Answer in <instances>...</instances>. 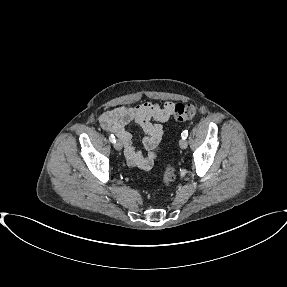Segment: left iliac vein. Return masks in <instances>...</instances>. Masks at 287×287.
<instances>
[{
	"label": "left iliac vein",
	"mask_w": 287,
	"mask_h": 287,
	"mask_svg": "<svg viewBox=\"0 0 287 287\" xmlns=\"http://www.w3.org/2000/svg\"><path fill=\"white\" fill-rule=\"evenodd\" d=\"M179 146H180L182 149H186L187 146H188V143H187V141H186L185 139H181V140L179 141Z\"/></svg>",
	"instance_id": "obj_1"
}]
</instances>
